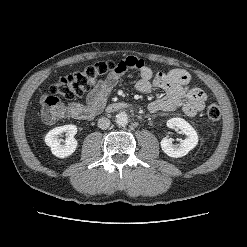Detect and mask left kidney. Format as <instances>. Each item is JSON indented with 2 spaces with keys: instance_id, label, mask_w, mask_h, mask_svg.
Wrapping results in <instances>:
<instances>
[{
  "instance_id": "left-kidney-1",
  "label": "left kidney",
  "mask_w": 247,
  "mask_h": 247,
  "mask_svg": "<svg viewBox=\"0 0 247 247\" xmlns=\"http://www.w3.org/2000/svg\"><path fill=\"white\" fill-rule=\"evenodd\" d=\"M167 126L172 129H178L186 138L180 139L179 144H173L172 139L163 138L161 148L165 154L172 158H179L188 154L198 144V135L194 128L182 118H172L167 121Z\"/></svg>"
}]
</instances>
